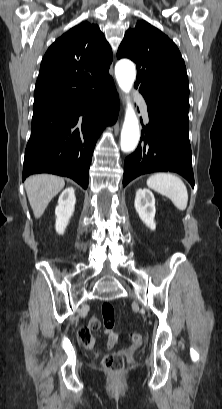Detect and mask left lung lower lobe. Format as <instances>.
Masks as SVG:
<instances>
[{
	"label": "left lung lower lobe",
	"instance_id": "1",
	"mask_svg": "<svg viewBox=\"0 0 222 409\" xmlns=\"http://www.w3.org/2000/svg\"><path fill=\"white\" fill-rule=\"evenodd\" d=\"M149 114L147 135L124 162L123 185L139 175L171 171L185 177L194 187L189 143V106L182 99L165 103L146 100Z\"/></svg>",
	"mask_w": 222,
	"mask_h": 409
}]
</instances>
